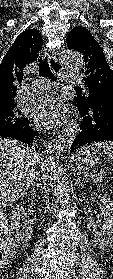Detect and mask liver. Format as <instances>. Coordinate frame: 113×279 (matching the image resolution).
I'll return each mask as SVG.
<instances>
[{"label":"liver","instance_id":"obj_1","mask_svg":"<svg viewBox=\"0 0 113 279\" xmlns=\"http://www.w3.org/2000/svg\"><path fill=\"white\" fill-rule=\"evenodd\" d=\"M39 161V155L23 143L0 139V207L27 193Z\"/></svg>","mask_w":113,"mask_h":279}]
</instances>
